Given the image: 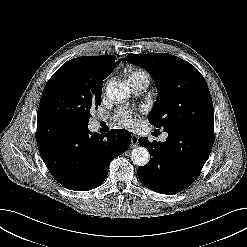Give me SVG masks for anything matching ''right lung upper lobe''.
Segmentation results:
<instances>
[{"mask_svg":"<svg viewBox=\"0 0 247 247\" xmlns=\"http://www.w3.org/2000/svg\"><path fill=\"white\" fill-rule=\"evenodd\" d=\"M76 59L82 63L93 77L102 82L115 68L116 63L119 62H115L116 57L112 55L78 57Z\"/></svg>","mask_w":247,"mask_h":247,"instance_id":"obj_1","label":"right lung upper lobe"}]
</instances>
